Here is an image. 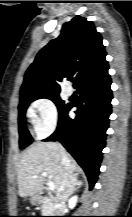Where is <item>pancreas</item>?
Listing matches in <instances>:
<instances>
[{
  "mask_svg": "<svg viewBox=\"0 0 132 217\" xmlns=\"http://www.w3.org/2000/svg\"><path fill=\"white\" fill-rule=\"evenodd\" d=\"M54 209V204L51 199H48L42 204V213H51Z\"/></svg>",
  "mask_w": 132,
  "mask_h": 217,
  "instance_id": "obj_1",
  "label": "pancreas"
}]
</instances>
